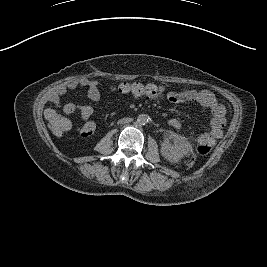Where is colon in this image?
<instances>
[{"instance_id": "obj_1", "label": "colon", "mask_w": 267, "mask_h": 267, "mask_svg": "<svg viewBox=\"0 0 267 267\" xmlns=\"http://www.w3.org/2000/svg\"><path fill=\"white\" fill-rule=\"evenodd\" d=\"M118 91L122 94H131L135 96L157 97L164 94V88L157 85H143L139 83H124L118 86ZM47 120L51 131L57 136H64L71 128V121L56 112L49 113ZM212 143L205 134H200L197 140V153L206 155L211 151Z\"/></svg>"}]
</instances>
